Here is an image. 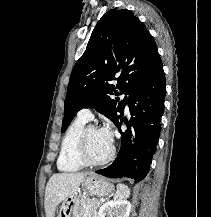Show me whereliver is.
<instances>
[{
	"instance_id": "liver-1",
	"label": "liver",
	"mask_w": 211,
	"mask_h": 217,
	"mask_svg": "<svg viewBox=\"0 0 211 217\" xmlns=\"http://www.w3.org/2000/svg\"><path fill=\"white\" fill-rule=\"evenodd\" d=\"M87 174L57 173L50 177L45 190L46 217H54L57 206L75 193Z\"/></svg>"
}]
</instances>
